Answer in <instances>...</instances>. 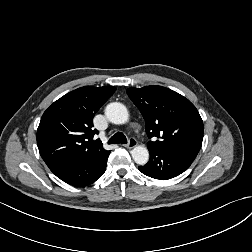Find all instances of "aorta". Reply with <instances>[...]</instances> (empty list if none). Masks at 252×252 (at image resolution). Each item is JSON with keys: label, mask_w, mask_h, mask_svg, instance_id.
<instances>
[{"label": "aorta", "mask_w": 252, "mask_h": 252, "mask_svg": "<svg viewBox=\"0 0 252 252\" xmlns=\"http://www.w3.org/2000/svg\"><path fill=\"white\" fill-rule=\"evenodd\" d=\"M107 119L114 124H125L129 119L127 108L118 102L110 103L105 108ZM133 160L139 165H145L149 160L148 149L144 146H136L131 151Z\"/></svg>", "instance_id": "1"}]
</instances>
